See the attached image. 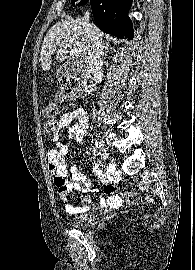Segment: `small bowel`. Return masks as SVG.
<instances>
[{
    "label": "small bowel",
    "instance_id": "obj_1",
    "mask_svg": "<svg viewBox=\"0 0 195 270\" xmlns=\"http://www.w3.org/2000/svg\"><path fill=\"white\" fill-rule=\"evenodd\" d=\"M87 126L88 117L82 108L66 112L57 123V132L53 136L54 147L47 152L48 168L53 175V182L58 189L60 198L66 201L73 191L82 192L81 205H66V211L69 214H80L89 208L91 200L88 192L92 191V185L87 177L80 172L78 163L67 168L68 146L59 142L58 132L63 128H68V136L80 143L86 137ZM109 172L114 179L116 177L114 166H111ZM101 179L105 183L104 192L107 198H100L99 205L119 208L123 203L122 196L118 194V190L113 184L108 183L105 176Z\"/></svg>",
    "mask_w": 195,
    "mask_h": 270
}]
</instances>
